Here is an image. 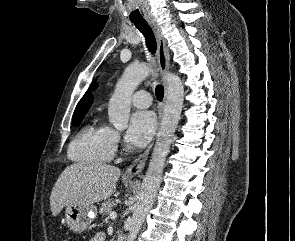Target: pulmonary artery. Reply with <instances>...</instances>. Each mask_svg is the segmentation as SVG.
I'll use <instances>...</instances> for the list:
<instances>
[{"label": "pulmonary artery", "instance_id": "pulmonary-artery-1", "mask_svg": "<svg viewBox=\"0 0 295 241\" xmlns=\"http://www.w3.org/2000/svg\"><path fill=\"white\" fill-rule=\"evenodd\" d=\"M131 102L137 108H147L152 103V96L145 90H139L132 95Z\"/></svg>", "mask_w": 295, "mask_h": 241}]
</instances>
